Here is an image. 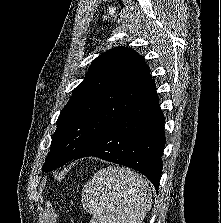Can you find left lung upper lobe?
Returning a JSON list of instances; mask_svg holds the SVG:
<instances>
[{
    "label": "left lung upper lobe",
    "instance_id": "left-lung-upper-lobe-1",
    "mask_svg": "<svg viewBox=\"0 0 221 223\" xmlns=\"http://www.w3.org/2000/svg\"><path fill=\"white\" fill-rule=\"evenodd\" d=\"M153 84L148 66L131 48L115 47L97 57L59 115L43 170L76 158Z\"/></svg>",
    "mask_w": 221,
    "mask_h": 223
}]
</instances>
